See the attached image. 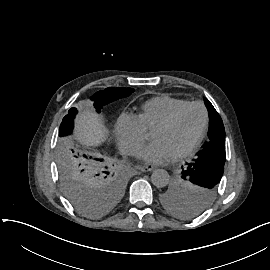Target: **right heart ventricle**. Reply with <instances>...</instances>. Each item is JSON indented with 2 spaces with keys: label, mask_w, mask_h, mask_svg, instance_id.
<instances>
[{
  "label": "right heart ventricle",
  "mask_w": 270,
  "mask_h": 270,
  "mask_svg": "<svg viewBox=\"0 0 270 270\" xmlns=\"http://www.w3.org/2000/svg\"><path fill=\"white\" fill-rule=\"evenodd\" d=\"M186 100L177 99L168 95L155 97L141 105V111L135 113L144 131L169 118L175 111L186 105Z\"/></svg>",
  "instance_id": "right-heart-ventricle-1"
}]
</instances>
